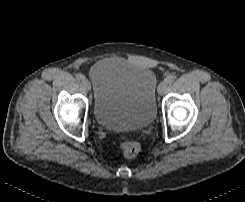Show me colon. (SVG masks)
I'll return each instance as SVG.
<instances>
[{
  "instance_id": "obj_1",
  "label": "colon",
  "mask_w": 245,
  "mask_h": 202,
  "mask_svg": "<svg viewBox=\"0 0 245 202\" xmlns=\"http://www.w3.org/2000/svg\"><path fill=\"white\" fill-rule=\"evenodd\" d=\"M121 151L126 158H134L140 152V144L135 140L123 141L120 145Z\"/></svg>"
}]
</instances>
